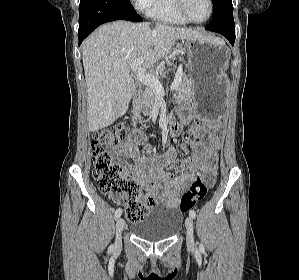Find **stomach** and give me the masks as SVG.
Wrapping results in <instances>:
<instances>
[{
	"mask_svg": "<svg viewBox=\"0 0 299 280\" xmlns=\"http://www.w3.org/2000/svg\"><path fill=\"white\" fill-rule=\"evenodd\" d=\"M183 43L188 51L192 114L222 116L227 100L225 71L229 66V48L222 39L213 36L186 39Z\"/></svg>",
	"mask_w": 299,
	"mask_h": 280,
	"instance_id": "1",
	"label": "stomach"
}]
</instances>
